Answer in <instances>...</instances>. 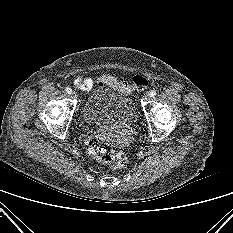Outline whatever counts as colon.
I'll return each mask as SVG.
<instances>
[{
	"label": "colon",
	"mask_w": 233,
	"mask_h": 233,
	"mask_svg": "<svg viewBox=\"0 0 233 233\" xmlns=\"http://www.w3.org/2000/svg\"><path fill=\"white\" fill-rule=\"evenodd\" d=\"M98 85H109L115 89L128 93L131 89H145L148 86V80L137 75L133 78L132 86L125 82L118 81L116 78L110 75H102L95 81ZM90 155L99 163L111 164L113 169L123 168L127 164V156L124 151L107 150L104 146L96 141H91L88 146Z\"/></svg>",
	"instance_id": "1"
}]
</instances>
